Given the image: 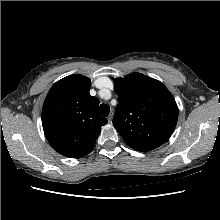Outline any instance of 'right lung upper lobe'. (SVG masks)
<instances>
[{
    "label": "right lung upper lobe",
    "instance_id": "1",
    "mask_svg": "<svg viewBox=\"0 0 220 220\" xmlns=\"http://www.w3.org/2000/svg\"><path fill=\"white\" fill-rule=\"evenodd\" d=\"M90 79L79 74L56 82L42 108V125L50 145L61 155L81 158L89 154L101 126L108 121L98 114L99 100L89 94Z\"/></svg>",
    "mask_w": 220,
    "mask_h": 220
}]
</instances>
